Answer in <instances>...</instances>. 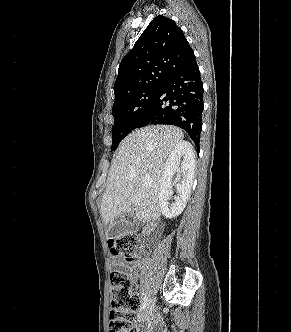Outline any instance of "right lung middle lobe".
I'll list each match as a JSON object with an SVG mask.
<instances>
[{
  "mask_svg": "<svg viewBox=\"0 0 291 332\" xmlns=\"http://www.w3.org/2000/svg\"><path fill=\"white\" fill-rule=\"evenodd\" d=\"M161 84L162 82L153 83L115 100L112 109L115 120L111 150H115L121 140L136 128L138 120L156 96Z\"/></svg>",
  "mask_w": 291,
  "mask_h": 332,
  "instance_id": "obj_1",
  "label": "right lung middle lobe"
}]
</instances>
